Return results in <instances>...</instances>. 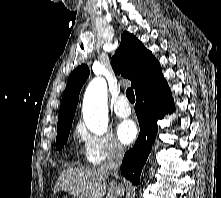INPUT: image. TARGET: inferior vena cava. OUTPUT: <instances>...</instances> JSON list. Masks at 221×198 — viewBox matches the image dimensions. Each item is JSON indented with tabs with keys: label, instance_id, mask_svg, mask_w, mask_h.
<instances>
[{
	"label": "inferior vena cava",
	"instance_id": "602c4592",
	"mask_svg": "<svg viewBox=\"0 0 221 198\" xmlns=\"http://www.w3.org/2000/svg\"><path fill=\"white\" fill-rule=\"evenodd\" d=\"M124 153H125L124 149L121 146L115 145L111 149L109 156L105 164L103 165L105 171L109 172L111 175H113L116 178H119L118 170L120 168Z\"/></svg>",
	"mask_w": 221,
	"mask_h": 198
}]
</instances>
